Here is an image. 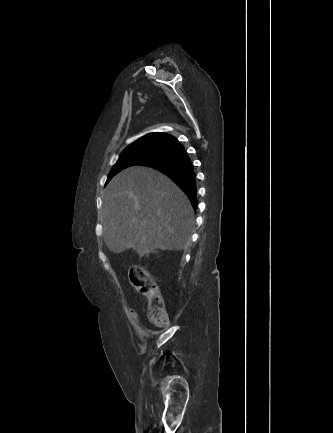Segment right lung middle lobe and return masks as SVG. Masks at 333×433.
Here are the masks:
<instances>
[{
  "label": "right lung middle lobe",
  "instance_id": "obj_1",
  "mask_svg": "<svg viewBox=\"0 0 333 433\" xmlns=\"http://www.w3.org/2000/svg\"><path fill=\"white\" fill-rule=\"evenodd\" d=\"M172 149L157 141L142 142L130 145L121 153L118 161L110 171L106 184L122 169L132 165H142L168 155Z\"/></svg>",
  "mask_w": 333,
  "mask_h": 433
}]
</instances>
